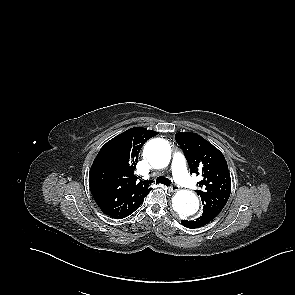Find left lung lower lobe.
<instances>
[{
  "label": "left lung lower lobe",
  "mask_w": 295,
  "mask_h": 295,
  "mask_svg": "<svg viewBox=\"0 0 295 295\" xmlns=\"http://www.w3.org/2000/svg\"><path fill=\"white\" fill-rule=\"evenodd\" d=\"M220 213V211L217 210H204L202 216H200L199 218L195 219V220H181V223L183 226L187 227V228H199L202 227L206 224H208L210 221H212L218 214Z\"/></svg>",
  "instance_id": "obj_1"
}]
</instances>
